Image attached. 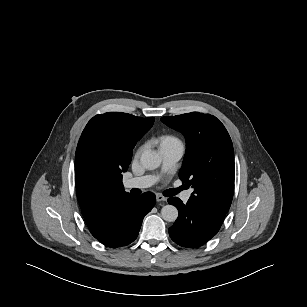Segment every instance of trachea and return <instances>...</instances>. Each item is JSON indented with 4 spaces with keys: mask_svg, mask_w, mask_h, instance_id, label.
I'll list each match as a JSON object with an SVG mask.
<instances>
[{
    "mask_svg": "<svg viewBox=\"0 0 307 307\" xmlns=\"http://www.w3.org/2000/svg\"><path fill=\"white\" fill-rule=\"evenodd\" d=\"M182 189H183L182 187H179V188H176V189L168 190L167 193L165 194V196H174L177 193H179Z\"/></svg>",
    "mask_w": 307,
    "mask_h": 307,
    "instance_id": "trachea-1",
    "label": "trachea"
}]
</instances>
